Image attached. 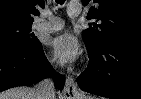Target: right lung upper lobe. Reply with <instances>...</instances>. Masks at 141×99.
<instances>
[{
    "mask_svg": "<svg viewBox=\"0 0 141 99\" xmlns=\"http://www.w3.org/2000/svg\"><path fill=\"white\" fill-rule=\"evenodd\" d=\"M36 6L44 7V0H0V22H33Z\"/></svg>",
    "mask_w": 141,
    "mask_h": 99,
    "instance_id": "right-lung-upper-lobe-1",
    "label": "right lung upper lobe"
}]
</instances>
